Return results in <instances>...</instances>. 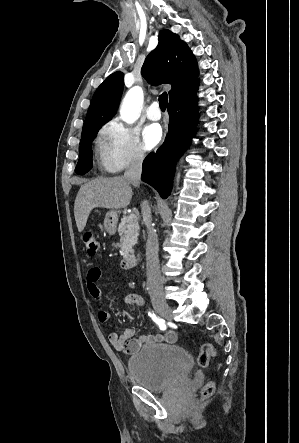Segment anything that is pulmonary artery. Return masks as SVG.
Wrapping results in <instances>:
<instances>
[{"label":"pulmonary artery","instance_id":"1","mask_svg":"<svg viewBox=\"0 0 299 443\" xmlns=\"http://www.w3.org/2000/svg\"><path fill=\"white\" fill-rule=\"evenodd\" d=\"M146 116L148 119L154 120V121L159 120L161 118V111L159 108V102L153 101L149 105V107L146 111Z\"/></svg>","mask_w":299,"mask_h":443}]
</instances>
